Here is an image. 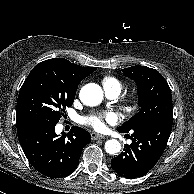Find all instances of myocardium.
I'll return each mask as SVG.
<instances>
[{"instance_id":"f54148a6","label":"myocardium","mask_w":194,"mask_h":194,"mask_svg":"<svg viewBox=\"0 0 194 194\" xmlns=\"http://www.w3.org/2000/svg\"><path fill=\"white\" fill-rule=\"evenodd\" d=\"M130 103H134L135 102V99L134 97H131L130 100H129Z\"/></svg>"}]
</instances>
